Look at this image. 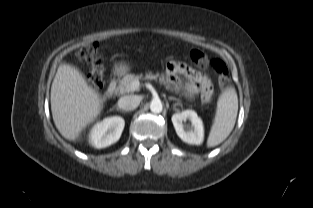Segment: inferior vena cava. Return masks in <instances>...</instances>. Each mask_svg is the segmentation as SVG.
Wrapping results in <instances>:
<instances>
[{
    "instance_id": "obj_1",
    "label": "inferior vena cava",
    "mask_w": 313,
    "mask_h": 208,
    "mask_svg": "<svg viewBox=\"0 0 313 208\" xmlns=\"http://www.w3.org/2000/svg\"><path fill=\"white\" fill-rule=\"evenodd\" d=\"M140 98L136 95L123 96L118 100V107L124 111H131L138 107Z\"/></svg>"
}]
</instances>
